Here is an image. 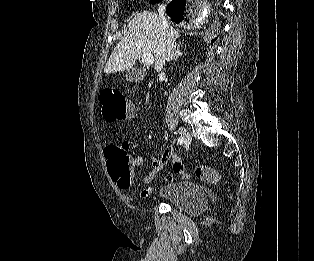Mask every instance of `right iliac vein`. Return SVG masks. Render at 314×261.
Instances as JSON below:
<instances>
[{"instance_id":"obj_1","label":"right iliac vein","mask_w":314,"mask_h":261,"mask_svg":"<svg viewBox=\"0 0 314 261\" xmlns=\"http://www.w3.org/2000/svg\"><path fill=\"white\" fill-rule=\"evenodd\" d=\"M178 132H179L181 138H182L185 142H187V143H190V142H191V140H192L191 135H190L189 131H188L186 128H184V127H179V128H178Z\"/></svg>"}]
</instances>
